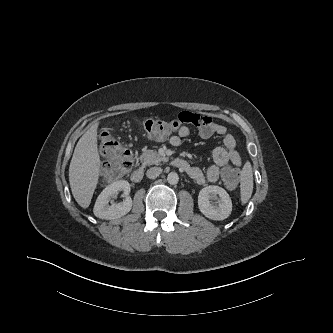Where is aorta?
I'll return each instance as SVG.
<instances>
[{"label":"aorta","mask_w":333,"mask_h":333,"mask_svg":"<svg viewBox=\"0 0 333 333\" xmlns=\"http://www.w3.org/2000/svg\"><path fill=\"white\" fill-rule=\"evenodd\" d=\"M167 181L171 185H175L179 181V176L176 172H170L167 176Z\"/></svg>","instance_id":"762f6f07"}]
</instances>
